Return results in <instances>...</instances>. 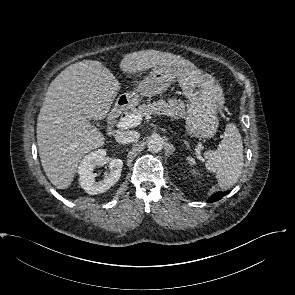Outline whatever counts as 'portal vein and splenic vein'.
Here are the masks:
<instances>
[{"instance_id":"1","label":"portal vein and splenic vein","mask_w":295,"mask_h":295,"mask_svg":"<svg viewBox=\"0 0 295 295\" xmlns=\"http://www.w3.org/2000/svg\"><path fill=\"white\" fill-rule=\"evenodd\" d=\"M142 121V116L140 114H130L122 118L117 123V128L127 129L138 126Z\"/></svg>"}]
</instances>
